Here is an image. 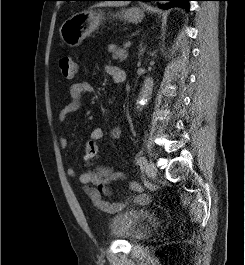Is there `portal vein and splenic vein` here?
Returning <instances> with one entry per match:
<instances>
[{
    "mask_svg": "<svg viewBox=\"0 0 245 265\" xmlns=\"http://www.w3.org/2000/svg\"><path fill=\"white\" fill-rule=\"evenodd\" d=\"M131 46V43L130 42H127L125 45H124V48L127 49Z\"/></svg>",
    "mask_w": 245,
    "mask_h": 265,
    "instance_id": "1",
    "label": "portal vein and splenic vein"
}]
</instances>
